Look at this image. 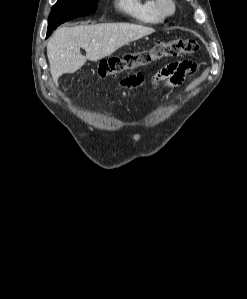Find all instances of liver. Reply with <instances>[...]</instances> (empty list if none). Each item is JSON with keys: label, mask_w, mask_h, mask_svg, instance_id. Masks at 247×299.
<instances>
[{"label": "liver", "mask_w": 247, "mask_h": 299, "mask_svg": "<svg viewBox=\"0 0 247 299\" xmlns=\"http://www.w3.org/2000/svg\"><path fill=\"white\" fill-rule=\"evenodd\" d=\"M155 30L130 23H102L61 27L47 45L50 72L54 82L66 73H74L87 60L98 61L110 56L122 46L138 40ZM86 51V56L80 52Z\"/></svg>", "instance_id": "6515ba94"}]
</instances>
